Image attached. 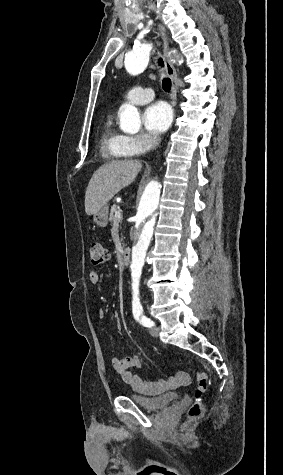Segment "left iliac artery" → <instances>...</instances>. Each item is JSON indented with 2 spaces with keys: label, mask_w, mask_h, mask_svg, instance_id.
<instances>
[{
  "label": "left iliac artery",
  "mask_w": 283,
  "mask_h": 475,
  "mask_svg": "<svg viewBox=\"0 0 283 475\" xmlns=\"http://www.w3.org/2000/svg\"><path fill=\"white\" fill-rule=\"evenodd\" d=\"M133 315H134V318L138 320L143 326L145 327L154 326V322L151 321V319L145 317L143 315L142 309L137 308L135 305H133Z\"/></svg>",
  "instance_id": "obj_1"
}]
</instances>
